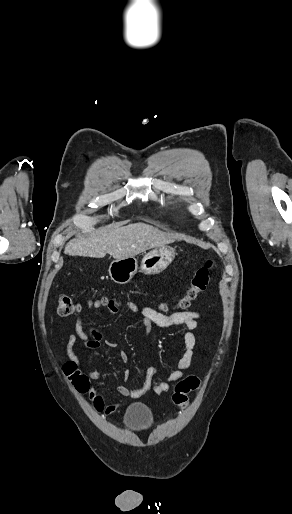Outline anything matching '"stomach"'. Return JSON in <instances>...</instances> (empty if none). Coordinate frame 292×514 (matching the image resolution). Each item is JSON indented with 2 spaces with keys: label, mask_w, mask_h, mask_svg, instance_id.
<instances>
[{
  "label": "stomach",
  "mask_w": 292,
  "mask_h": 514,
  "mask_svg": "<svg viewBox=\"0 0 292 514\" xmlns=\"http://www.w3.org/2000/svg\"><path fill=\"white\" fill-rule=\"evenodd\" d=\"M174 258V252L167 246L151 250L142 258L140 270L143 274H160L166 270ZM139 270L138 262L134 256L124 260H114L109 266V276L115 284H128Z\"/></svg>",
  "instance_id": "obj_1"
}]
</instances>
